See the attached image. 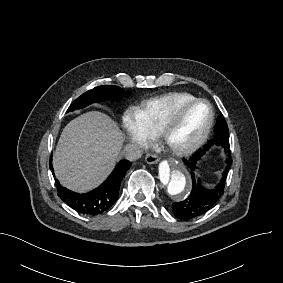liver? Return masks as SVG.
<instances>
[{"instance_id":"obj_1","label":"liver","mask_w":283,"mask_h":283,"mask_svg":"<svg viewBox=\"0 0 283 283\" xmlns=\"http://www.w3.org/2000/svg\"><path fill=\"white\" fill-rule=\"evenodd\" d=\"M124 140L117 123L104 113L91 111L71 120L53 156L56 178L79 193L98 187L119 161Z\"/></svg>"}]
</instances>
